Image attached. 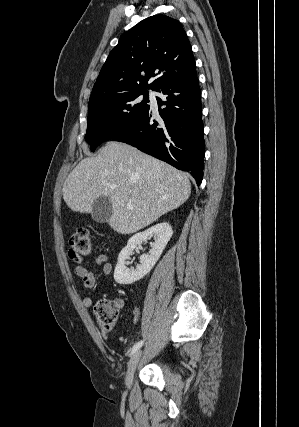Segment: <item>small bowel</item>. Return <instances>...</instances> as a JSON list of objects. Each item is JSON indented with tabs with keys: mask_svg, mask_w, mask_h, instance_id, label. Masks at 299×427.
<instances>
[{
	"mask_svg": "<svg viewBox=\"0 0 299 427\" xmlns=\"http://www.w3.org/2000/svg\"><path fill=\"white\" fill-rule=\"evenodd\" d=\"M95 264L101 266L102 274L109 275L112 272V265L108 263L107 256L105 254H99L95 257ZM74 273L77 277L82 280V283L85 288L92 289L96 285V279L94 274L89 271L84 265L77 264L74 268ZM94 298L92 295H86L83 297L82 303L84 307H91L93 305ZM114 307L121 311L124 307V301L122 299H115L113 302ZM139 311L136 309L134 311V320L135 322L138 320Z\"/></svg>",
	"mask_w": 299,
	"mask_h": 427,
	"instance_id": "1",
	"label": "small bowel"
}]
</instances>
